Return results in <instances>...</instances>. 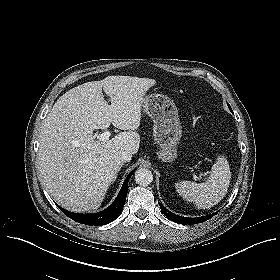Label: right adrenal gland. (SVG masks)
I'll return each instance as SVG.
<instances>
[{"instance_id":"1","label":"right adrenal gland","mask_w":280,"mask_h":280,"mask_svg":"<svg viewBox=\"0 0 280 280\" xmlns=\"http://www.w3.org/2000/svg\"><path fill=\"white\" fill-rule=\"evenodd\" d=\"M122 165H123V164L120 165V169H121ZM116 178H117V175L114 177L113 182L116 180ZM113 182H112V183H113Z\"/></svg>"}]
</instances>
